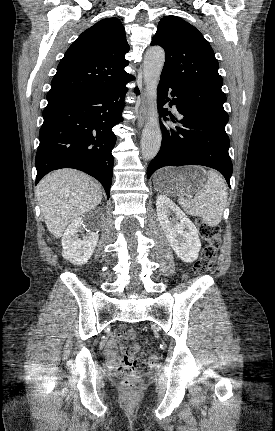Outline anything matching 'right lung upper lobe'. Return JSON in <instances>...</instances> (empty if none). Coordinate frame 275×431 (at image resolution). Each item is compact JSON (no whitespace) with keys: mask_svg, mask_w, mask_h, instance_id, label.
Returning a JSON list of instances; mask_svg holds the SVG:
<instances>
[{"mask_svg":"<svg viewBox=\"0 0 275 431\" xmlns=\"http://www.w3.org/2000/svg\"><path fill=\"white\" fill-rule=\"evenodd\" d=\"M130 47L119 19L107 18L85 30L66 51L52 79L48 102L112 89L131 76L124 67Z\"/></svg>","mask_w":275,"mask_h":431,"instance_id":"right-lung-upper-lobe-1","label":"right lung upper lobe"}]
</instances>
